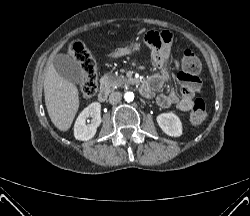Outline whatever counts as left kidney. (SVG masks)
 <instances>
[{"label": "left kidney", "instance_id": "obj_1", "mask_svg": "<svg viewBox=\"0 0 250 216\" xmlns=\"http://www.w3.org/2000/svg\"><path fill=\"white\" fill-rule=\"evenodd\" d=\"M162 131L171 137H179L183 133L182 123L174 113H162L156 118Z\"/></svg>", "mask_w": 250, "mask_h": 216}]
</instances>
